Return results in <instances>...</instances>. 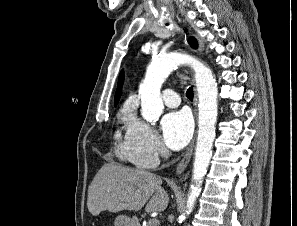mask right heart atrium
<instances>
[{"mask_svg": "<svg viewBox=\"0 0 297 226\" xmlns=\"http://www.w3.org/2000/svg\"><path fill=\"white\" fill-rule=\"evenodd\" d=\"M122 153L136 166L155 168L168 155L158 133L135 115L127 124Z\"/></svg>", "mask_w": 297, "mask_h": 226, "instance_id": "right-heart-atrium-1", "label": "right heart atrium"}]
</instances>
